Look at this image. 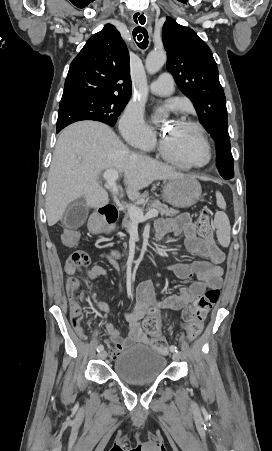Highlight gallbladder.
<instances>
[{
	"mask_svg": "<svg viewBox=\"0 0 272 451\" xmlns=\"http://www.w3.org/2000/svg\"><path fill=\"white\" fill-rule=\"evenodd\" d=\"M89 214V208H86L83 202H73L71 206H68L63 220H61L63 226L72 227V229H77V227L83 226L85 224Z\"/></svg>",
	"mask_w": 272,
	"mask_h": 451,
	"instance_id": "gallbladder-1",
	"label": "gallbladder"
}]
</instances>
